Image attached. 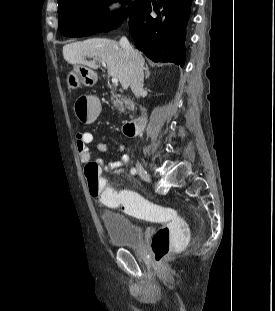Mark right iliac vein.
Here are the masks:
<instances>
[{"label":"right iliac vein","instance_id":"obj_1","mask_svg":"<svg viewBox=\"0 0 275 311\" xmlns=\"http://www.w3.org/2000/svg\"><path fill=\"white\" fill-rule=\"evenodd\" d=\"M136 168H137V172H138L139 176L143 180L148 181V182L151 181L150 175L147 173L145 168L140 163H137Z\"/></svg>","mask_w":275,"mask_h":311}]
</instances>
